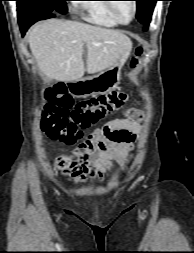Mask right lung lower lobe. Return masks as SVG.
<instances>
[{
    "label": "right lung lower lobe",
    "mask_w": 194,
    "mask_h": 253,
    "mask_svg": "<svg viewBox=\"0 0 194 253\" xmlns=\"http://www.w3.org/2000/svg\"><path fill=\"white\" fill-rule=\"evenodd\" d=\"M56 14H58V13H52V14L44 15V16H41V17H39V18L48 19V18L54 17ZM18 22H19L20 29H21V32H22V36L25 34V32L27 31V29H28L33 23H35L34 21H27V20H24V19H18Z\"/></svg>",
    "instance_id": "1"
}]
</instances>
